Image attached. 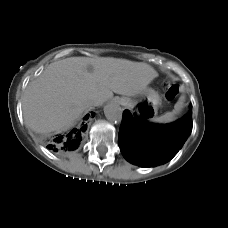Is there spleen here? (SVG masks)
I'll use <instances>...</instances> for the list:
<instances>
[{"label":"spleen","mask_w":228,"mask_h":228,"mask_svg":"<svg viewBox=\"0 0 228 228\" xmlns=\"http://www.w3.org/2000/svg\"><path fill=\"white\" fill-rule=\"evenodd\" d=\"M183 107V97H180L179 101L175 104L172 112H167L164 115L154 119L155 122L168 123L175 119V115L178 114Z\"/></svg>","instance_id":"1"}]
</instances>
